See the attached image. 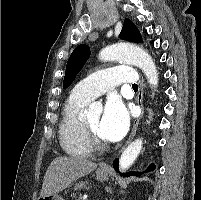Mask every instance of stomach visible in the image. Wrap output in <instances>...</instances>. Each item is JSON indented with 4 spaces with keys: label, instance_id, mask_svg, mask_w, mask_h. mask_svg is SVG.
Instances as JSON below:
<instances>
[{
    "label": "stomach",
    "instance_id": "1",
    "mask_svg": "<svg viewBox=\"0 0 201 200\" xmlns=\"http://www.w3.org/2000/svg\"><path fill=\"white\" fill-rule=\"evenodd\" d=\"M109 176H110L109 170H102V169L96 170V178L99 181H107ZM84 186H85L84 182H79L75 185V189L83 188ZM39 200H63V198L59 196L58 194L54 193L52 195L39 197Z\"/></svg>",
    "mask_w": 201,
    "mask_h": 200
}]
</instances>
